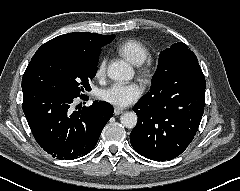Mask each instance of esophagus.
<instances>
[{
    "mask_svg": "<svg viewBox=\"0 0 240 191\" xmlns=\"http://www.w3.org/2000/svg\"><path fill=\"white\" fill-rule=\"evenodd\" d=\"M123 112H124V110L121 109V108H114V114H115V115H120V114H122Z\"/></svg>",
    "mask_w": 240,
    "mask_h": 191,
    "instance_id": "esophagus-1",
    "label": "esophagus"
}]
</instances>
